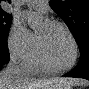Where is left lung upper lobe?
I'll return each mask as SVG.
<instances>
[{
	"mask_svg": "<svg viewBox=\"0 0 89 89\" xmlns=\"http://www.w3.org/2000/svg\"><path fill=\"white\" fill-rule=\"evenodd\" d=\"M49 4L66 23L79 49L89 46V0H50Z\"/></svg>",
	"mask_w": 89,
	"mask_h": 89,
	"instance_id": "left-lung-upper-lobe-1",
	"label": "left lung upper lobe"
}]
</instances>
